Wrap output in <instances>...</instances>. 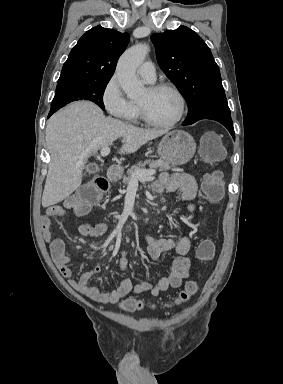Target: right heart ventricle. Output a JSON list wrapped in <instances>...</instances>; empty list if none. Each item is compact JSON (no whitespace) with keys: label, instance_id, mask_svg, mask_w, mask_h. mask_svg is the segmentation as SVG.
Instances as JSON below:
<instances>
[{"label":"right heart ventricle","instance_id":"e07e8e85","mask_svg":"<svg viewBox=\"0 0 283 384\" xmlns=\"http://www.w3.org/2000/svg\"><path fill=\"white\" fill-rule=\"evenodd\" d=\"M136 109H137V111H136V115H135V117H137L138 114H139V111H138V108H137V107H136Z\"/></svg>","mask_w":283,"mask_h":384}]
</instances>
